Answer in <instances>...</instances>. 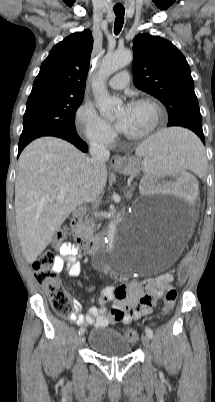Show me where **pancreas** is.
<instances>
[{
  "label": "pancreas",
  "instance_id": "cf45deb5",
  "mask_svg": "<svg viewBox=\"0 0 215 402\" xmlns=\"http://www.w3.org/2000/svg\"><path fill=\"white\" fill-rule=\"evenodd\" d=\"M76 234L81 238H89L95 231L94 223L87 217L84 220L79 221L76 226Z\"/></svg>",
  "mask_w": 215,
  "mask_h": 402
}]
</instances>
